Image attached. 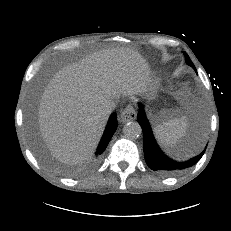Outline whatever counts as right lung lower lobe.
<instances>
[{
	"mask_svg": "<svg viewBox=\"0 0 231 231\" xmlns=\"http://www.w3.org/2000/svg\"><path fill=\"white\" fill-rule=\"evenodd\" d=\"M116 129H117V116H116V113H113L110 116V119H109L108 124H107L106 129H105V132L103 134V137H102V139L99 143V146L97 148L96 161L99 160L100 155L106 149V147H107L109 141L111 140Z\"/></svg>",
	"mask_w": 231,
	"mask_h": 231,
	"instance_id": "98d812e1",
	"label": "right lung lower lobe"
}]
</instances>
